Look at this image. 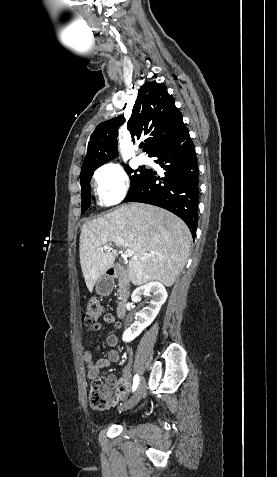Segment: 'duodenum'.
<instances>
[{"instance_id": "1", "label": "duodenum", "mask_w": 277, "mask_h": 477, "mask_svg": "<svg viewBox=\"0 0 277 477\" xmlns=\"http://www.w3.org/2000/svg\"><path fill=\"white\" fill-rule=\"evenodd\" d=\"M106 276L109 280V288L112 287L114 281H118L121 288V297L118 301L116 312L119 318H124L128 310V284L129 278L127 271L119 266H114L107 270Z\"/></svg>"}]
</instances>
